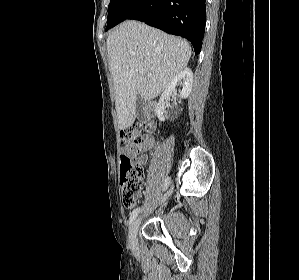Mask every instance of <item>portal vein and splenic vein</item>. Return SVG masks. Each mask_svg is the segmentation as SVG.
Here are the masks:
<instances>
[{"label":"portal vein and splenic vein","mask_w":299,"mask_h":280,"mask_svg":"<svg viewBox=\"0 0 299 280\" xmlns=\"http://www.w3.org/2000/svg\"><path fill=\"white\" fill-rule=\"evenodd\" d=\"M139 73H140L141 75H145V70H144V69H141V70H139ZM149 75H151V74L149 73Z\"/></svg>","instance_id":"1"}]
</instances>
